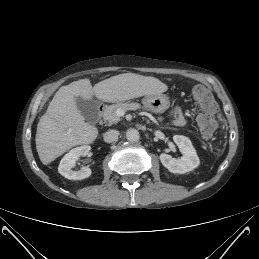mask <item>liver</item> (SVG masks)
Returning <instances> with one entry per match:
<instances>
[{"label": "liver", "mask_w": 259, "mask_h": 259, "mask_svg": "<svg viewBox=\"0 0 259 259\" xmlns=\"http://www.w3.org/2000/svg\"><path fill=\"white\" fill-rule=\"evenodd\" d=\"M167 89L157 78L135 73L110 77L94 87L87 78L60 87L37 125L35 142L40 161L47 165L70 148L91 144L96 139L98 130L85 122L76 97L88 100L94 95L105 102H117L160 94Z\"/></svg>", "instance_id": "6515ba94"}]
</instances>
